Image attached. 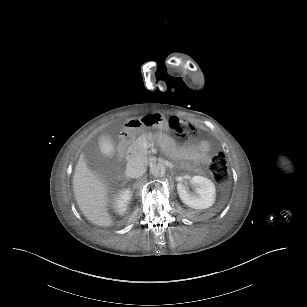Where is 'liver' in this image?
Returning <instances> with one entry per match:
<instances>
[{
    "label": "liver",
    "instance_id": "liver-1",
    "mask_svg": "<svg viewBox=\"0 0 307 307\" xmlns=\"http://www.w3.org/2000/svg\"><path fill=\"white\" fill-rule=\"evenodd\" d=\"M73 190L82 214L92 224L104 228L113 226L109 212L110 185L103 175L89 169L84 155H81L73 176Z\"/></svg>",
    "mask_w": 307,
    "mask_h": 307
}]
</instances>
